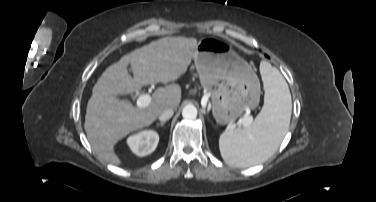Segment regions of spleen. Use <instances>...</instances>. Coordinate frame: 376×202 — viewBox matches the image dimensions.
<instances>
[{
    "instance_id": "3e777b00",
    "label": "spleen",
    "mask_w": 376,
    "mask_h": 202,
    "mask_svg": "<svg viewBox=\"0 0 376 202\" xmlns=\"http://www.w3.org/2000/svg\"><path fill=\"white\" fill-rule=\"evenodd\" d=\"M264 85V106L251 126L224 131L219 139L222 158L236 167H249L266 161L286 135L292 111L289 87L275 67L260 63Z\"/></svg>"
}]
</instances>
